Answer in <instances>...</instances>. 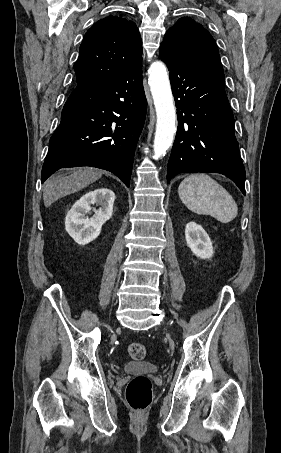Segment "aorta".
Returning a JSON list of instances; mask_svg holds the SVG:
<instances>
[{
	"instance_id": "762f6f07",
	"label": "aorta",
	"mask_w": 281,
	"mask_h": 453,
	"mask_svg": "<svg viewBox=\"0 0 281 453\" xmlns=\"http://www.w3.org/2000/svg\"><path fill=\"white\" fill-rule=\"evenodd\" d=\"M148 82L156 109L157 123L154 139V158L167 153L176 132V109L165 64L153 62L148 70Z\"/></svg>"
}]
</instances>
